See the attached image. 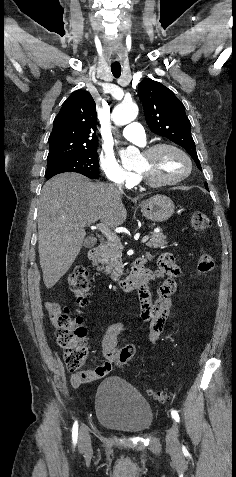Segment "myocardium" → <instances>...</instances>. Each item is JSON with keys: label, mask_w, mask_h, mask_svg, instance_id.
Instances as JSON below:
<instances>
[{"label": "myocardium", "mask_w": 236, "mask_h": 477, "mask_svg": "<svg viewBox=\"0 0 236 477\" xmlns=\"http://www.w3.org/2000/svg\"><path fill=\"white\" fill-rule=\"evenodd\" d=\"M164 149H171L173 151H176L180 155H182L187 162V170H186L185 173H183L181 176H179L177 178L170 179V180H163V181H155V180L151 179L150 177H148L144 172H142L140 170H135L138 179L142 183L146 184L147 186L158 188V187L176 185V184L182 182L183 180H185L187 177H189V175L192 172L193 163H192V160H191L190 156L182 148H180L179 146H177L175 144H172V143H157V144L151 145V146L147 147L146 149H144L143 152H142V155H144L147 158H150V157L154 156L155 154H157L158 152H160L161 150H164Z\"/></svg>", "instance_id": "f54148a6"}]
</instances>
